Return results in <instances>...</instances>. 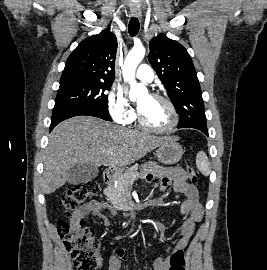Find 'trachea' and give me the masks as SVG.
Instances as JSON below:
<instances>
[{"instance_id":"obj_1","label":"trachea","mask_w":267,"mask_h":270,"mask_svg":"<svg viewBox=\"0 0 267 270\" xmlns=\"http://www.w3.org/2000/svg\"><path fill=\"white\" fill-rule=\"evenodd\" d=\"M140 29V24L137 18H131L128 25V31L131 36H135Z\"/></svg>"}]
</instances>
